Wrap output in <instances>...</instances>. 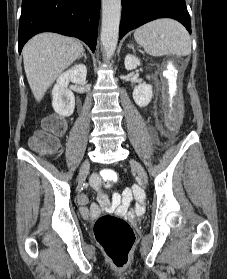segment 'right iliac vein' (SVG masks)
<instances>
[{"instance_id": "1", "label": "right iliac vein", "mask_w": 227, "mask_h": 279, "mask_svg": "<svg viewBox=\"0 0 227 279\" xmlns=\"http://www.w3.org/2000/svg\"><path fill=\"white\" fill-rule=\"evenodd\" d=\"M89 166H90V163L88 160H86L81 169H80V172H79V176H78V184L81 185L82 182L84 181L87 173H88V170H89Z\"/></svg>"}]
</instances>
